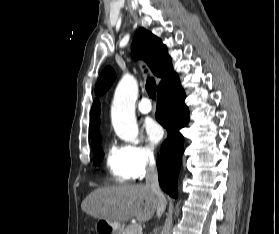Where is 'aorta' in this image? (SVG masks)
<instances>
[{"label":"aorta","instance_id":"1","mask_svg":"<svg viewBox=\"0 0 279 234\" xmlns=\"http://www.w3.org/2000/svg\"><path fill=\"white\" fill-rule=\"evenodd\" d=\"M138 94L136 79L126 74L115 90L111 119L116 134L127 142H136L138 125L135 116V102Z\"/></svg>","mask_w":279,"mask_h":234}]
</instances>
